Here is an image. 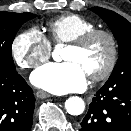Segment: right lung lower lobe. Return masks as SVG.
<instances>
[{"label": "right lung lower lobe", "instance_id": "obj_1", "mask_svg": "<svg viewBox=\"0 0 131 131\" xmlns=\"http://www.w3.org/2000/svg\"><path fill=\"white\" fill-rule=\"evenodd\" d=\"M34 107L33 91L16 69L0 67V131H30Z\"/></svg>", "mask_w": 131, "mask_h": 131}]
</instances>
